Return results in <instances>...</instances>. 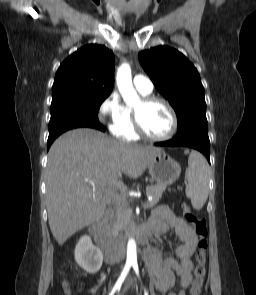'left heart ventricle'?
<instances>
[{"mask_svg": "<svg viewBox=\"0 0 256 295\" xmlns=\"http://www.w3.org/2000/svg\"><path fill=\"white\" fill-rule=\"evenodd\" d=\"M133 109L138 113L142 127L150 135L159 137L170 131L171 116L161 103L144 105L140 100Z\"/></svg>", "mask_w": 256, "mask_h": 295, "instance_id": "b2bd125f", "label": "left heart ventricle"}]
</instances>
